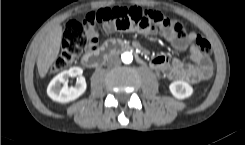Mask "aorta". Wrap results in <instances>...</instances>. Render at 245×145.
I'll use <instances>...</instances> for the list:
<instances>
[{
  "label": "aorta",
  "mask_w": 245,
  "mask_h": 145,
  "mask_svg": "<svg viewBox=\"0 0 245 145\" xmlns=\"http://www.w3.org/2000/svg\"><path fill=\"white\" fill-rule=\"evenodd\" d=\"M122 62L125 64H129L133 60V55L130 52H124L121 56Z\"/></svg>",
  "instance_id": "1"
}]
</instances>
